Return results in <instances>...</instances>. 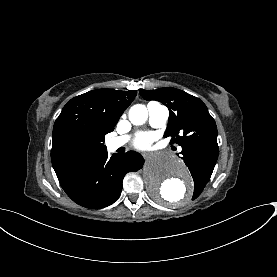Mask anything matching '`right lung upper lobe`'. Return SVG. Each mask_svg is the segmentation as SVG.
<instances>
[{
    "mask_svg": "<svg viewBox=\"0 0 277 277\" xmlns=\"http://www.w3.org/2000/svg\"><path fill=\"white\" fill-rule=\"evenodd\" d=\"M136 94L134 90L97 89L71 99L53 128L51 160L55 172L106 151L105 135L114 130Z\"/></svg>",
    "mask_w": 277,
    "mask_h": 277,
    "instance_id": "cb5924a9",
    "label": "right lung upper lobe"
}]
</instances>
